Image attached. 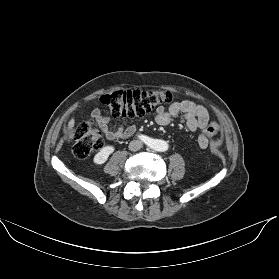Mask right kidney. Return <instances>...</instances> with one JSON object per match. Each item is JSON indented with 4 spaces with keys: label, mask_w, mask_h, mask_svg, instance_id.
I'll list each match as a JSON object with an SVG mask.
<instances>
[{
    "label": "right kidney",
    "mask_w": 279,
    "mask_h": 279,
    "mask_svg": "<svg viewBox=\"0 0 279 279\" xmlns=\"http://www.w3.org/2000/svg\"><path fill=\"white\" fill-rule=\"evenodd\" d=\"M114 146L108 145L103 148L94 156L93 161L95 164H103L107 161L110 154L114 152Z\"/></svg>",
    "instance_id": "obj_1"
}]
</instances>
